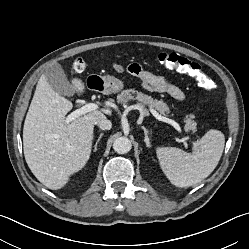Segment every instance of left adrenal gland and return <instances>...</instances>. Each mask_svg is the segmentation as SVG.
Here are the masks:
<instances>
[{
    "mask_svg": "<svg viewBox=\"0 0 249 249\" xmlns=\"http://www.w3.org/2000/svg\"><path fill=\"white\" fill-rule=\"evenodd\" d=\"M141 128L143 129L144 135H145V137H144V142L146 143V145H147L148 147H150V139H149V136H148L149 131H148V129H146L144 126H141Z\"/></svg>",
    "mask_w": 249,
    "mask_h": 249,
    "instance_id": "1",
    "label": "left adrenal gland"
}]
</instances>
